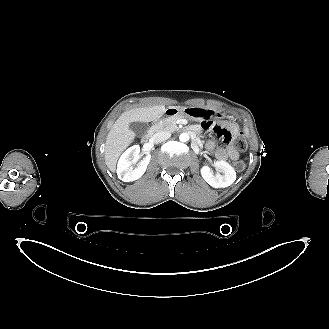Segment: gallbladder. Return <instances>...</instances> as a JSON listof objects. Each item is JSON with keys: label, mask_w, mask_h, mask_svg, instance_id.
<instances>
[{"label": "gallbladder", "mask_w": 329, "mask_h": 329, "mask_svg": "<svg viewBox=\"0 0 329 329\" xmlns=\"http://www.w3.org/2000/svg\"><path fill=\"white\" fill-rule=\"evenodd\" d=\"M129 128L135 133V135L142 137L147 133L149 124L146 122L136 121L130 123Z\"/></svg>", "instance_id": "gallbladder-1"}]
</instances>
